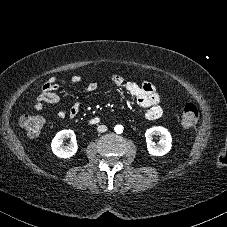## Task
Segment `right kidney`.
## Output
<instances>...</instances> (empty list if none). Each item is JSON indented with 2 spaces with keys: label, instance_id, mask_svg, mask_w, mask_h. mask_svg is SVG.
Segmentation results:
<instances>
[{
  "label": "right kidney",
  "instance_id": "1",
  "mask_svg": "<svg viewBox=\"0 0 227 227\" xmlns=\"http://www.w3.org/2000/svg\"><path fill=\"white\" fill-rule=\"evenodd\" d=\"M65 138H70L71 142L69 146L62 145ZM51 148L53 153L60 158L72 157L78 149L74 131L71 129H65L58 132L51 142Z\"/></svg>",
  "mask_w": 227,
  "mask_h": 227
}]
</instances>
